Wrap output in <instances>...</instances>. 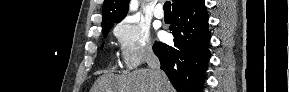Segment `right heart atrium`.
I'll return each instance as SVG.
<instances>
[{
	"label": "right heart atrium",
	"instance_id": "obj_1",
	"mask_svg": "<svg viewBox=\"0 0 289 92\" xmlns=\"http://www.w3.org/2000/svg\"><path fill=\"white\" fill-rule=\"evenodd\" d=\"M113 33L126 68H136L152 56L149 29L136 18H124L115 25Z\"/></svg>",
	"mask_w": 289,
	"mask_h": 92
}]
</instances>
